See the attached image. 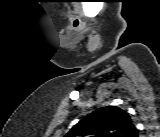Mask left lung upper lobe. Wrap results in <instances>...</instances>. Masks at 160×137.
<instances>
[{"mask_svg": "<svg viewBox=\"0 0 160 137\" xmlns=\"http://www.w3.org/2000/svg\"><path fill=\"white\" fill-rule=\"evenodd\" d=\"M129 114L116 106L97 109L82 118L65 137H136Z\"/></svg>", "mask_w": 160, "mask_h": 137, "instance_id": "1", "label": "left lung upper lobe"}]
</instances>
